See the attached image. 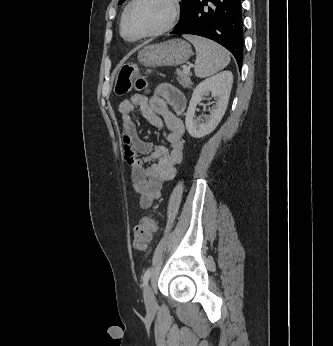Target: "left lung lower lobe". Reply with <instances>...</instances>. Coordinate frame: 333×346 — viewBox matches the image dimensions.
Wrapping results in <instances>:
<instances>
[{
  "instance_id": "obj_1",
  "label": "left lung lower lobe",
  "mask_w": 333,
  "mask_h": 346,
  "mask_svg": "<svg viewBox=\"0 0 333 346\" xmlns=\"http://www.w3.org/2000/svg\"><path fill=\"white\" fill-rule=\"evenodd\" d=\"M171 34L209 38L227 48L240 66L244 46L241 0H192Z\"/></svg>"
}]
</instances>
